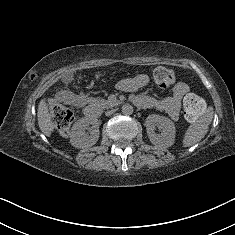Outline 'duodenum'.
Instances as JSON below:
<instances>
[{
    "instance_id": "1",
    "label": "duodenum",
    "mask_w": 235,
    "mask_h": 235,
    "mask_svg": "<svg viewBox=\"0 0 235 235\" xmlns=\"http://www.w3.org/2000/svg\"><path fill=\"white\" fill-rule=\"evenodd\" d=\"M86 116L89 118H97L99 116V110L93 105H87L85 108Z\"/></svg>"
}]
</instances>
